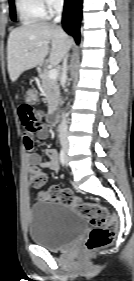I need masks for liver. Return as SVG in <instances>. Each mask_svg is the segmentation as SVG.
I'll use <instances>...</instances> for the list:
<instances>
[{
    "instance_id": "1",
    "label": "liver",
    "mask_w": 134,
    "mask_h": 281,
    "mask_svg": "<svg viewBox=\"0 0 134 281\" xmlns=\"http://www.w3.org/2000/svg\"><path fill=\"white\" fill-rule=\"evenodd\" d=\"M70 45V37L55 24L39 21L14 29L7 43V63L11 81L15 82L26 70L42 66L49 51V63L53 66L58 65Z\"/></svg>"
}]
</instances>
